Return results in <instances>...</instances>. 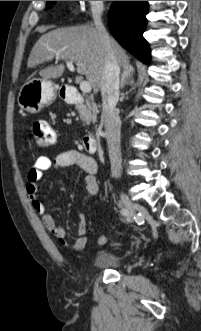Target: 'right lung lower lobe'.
I'll return each instance as SVG.
<instances>
[{
  "label": "right lung lower lobe",
  "instance_id": "98d812e1",
  "mask_svg": "<svg viewBox=\"0 0 201 331\" xmlns=\"http://www.w3.org/2000/svg\"><path fill=\"white\" fill-rule=\"evenodd\" d=\"M148 1H115L108 14V26L115 39L143 63L150 62L149 45L143 38Z\"/></svg>",
  "mask_w": 201,
  "mask_h": 331
}]
</instances>
